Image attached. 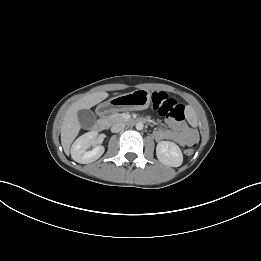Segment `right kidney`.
<instances>
[{
    "label": "right kidney",
    "instance_id": "ca27d5eb",
    "mask_svg": "<svg viewBox=\"0 0 261 261\" xmlns=\"http://www.w3.org/2000/svg\"><path fill=\"white\" fill-rule=\"evenodd\" d=\"M96 136L97 134L95 132H88L75 140L71 147V157L74 161L81 164H88L102 156L104 147L101 145H97L92 150H88Z\"/></svg>",
    "mask_w": 261,
    "mask_h": 261
}]
</instances>
